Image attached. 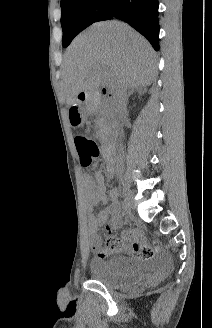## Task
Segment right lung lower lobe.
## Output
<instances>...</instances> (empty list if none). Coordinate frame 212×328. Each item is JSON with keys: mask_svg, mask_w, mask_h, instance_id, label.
<instances>
[{"mask_svg": "<svg viewBox=\"0 0 212 328\" xmlns=\"http://www.w3.org/2000/svg\"><path fill=\"white\" fill-rule=\"evenodd\" d=\"M100 8L94 22L113 17L125 21L159 50L158 0H104Z\"/></svg>", "mask_w": 212, "mask_h": 328, "instance_id": "obj_1", "label": "right lung lower lobe"}]
</instances>
